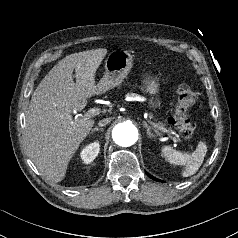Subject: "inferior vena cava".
Listing matches in <instances>:
<instances>
[{
  "label": "inferior vena cava",
  "instance_id": "1",
  "mask_svg": "<svg viewBox=\"0 0 238 238\" xmlns=\"http://www.w3.org/2000/svg\"><path fill=\"white\" fill-rule=\"evenodd\" d=\"M109 122H110V118H104V119L99 121L98 125L100 127H103V126L107 125Z\"/></svg>",
  "mask_w": 238,
  "mask_h": 238
}]
</instances>
